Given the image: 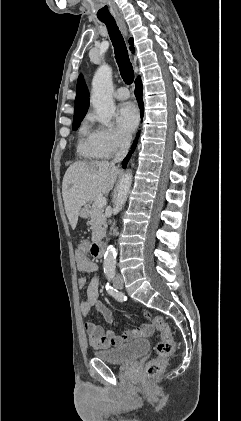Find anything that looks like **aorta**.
<instances>
[{
  "label": "aorta",
  "instance_id": "762f6f07",
  "mask_svg": "<svg viewBox=\"0 0 241 421\" xmlns=\"http://www.w3.org/2000/svg\"><path fill=\"white\" fill-rule=\"evenodd\" d=\"M112 69L106 65H101L92 80L91 102L96 110L98 121L109 126L111 118L115 112V105L112 98ZM132 184V173L126 172L119 183L118 192L115 200V210L121 211L128 197ZM116 263V250L109 246L104 255V266L106 268L114 267Z\"/></svg>",
  "mask_w": 241,
  "mask_h": 421
}]
</instances>
